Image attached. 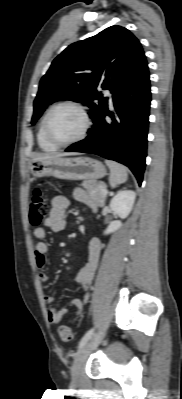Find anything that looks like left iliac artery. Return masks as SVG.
I'll return each instance as SVG.
<instances>
[{"label":"left iliac artery","instance_id":"44dca946","mask_svg":"<svg viewBox=\"0 0 182 399\" xmlns=\"http://www.w3.org/2000/svg\"><path fill=\"white\" fill-rule=\"evenodd\" d=\"M94 329H90L89 331L86 332V334L82 337V339L79 342V346L78 348H82L87 342L88 340L91 338L92 334H93Z\"/></svg>","mask_w":182,"mask_h":399}]
</instances>
